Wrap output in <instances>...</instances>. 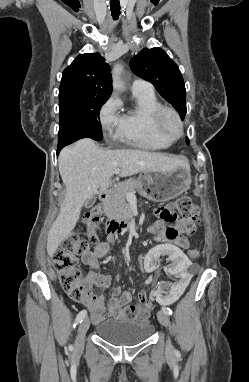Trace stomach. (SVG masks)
Masks as SVG:
<instances>
[{"label":"stomach","mask_w":249,"mask_h":382,"mask_svg":"<svg viewBox=\"0 0 249 382\" xmlns=\"http://www.w3.org/2000/svg\"><path fill=\"white\" fill-rule=\"evenodd\" d=\"M191 181L190 169L183 167L169 172L145 171L137 179V191L149 200L165 202L189 189Z\"/></svg>","instance_id":"1"}]
</instances>
